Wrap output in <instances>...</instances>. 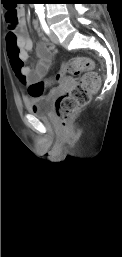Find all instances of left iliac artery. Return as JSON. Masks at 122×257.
<instances>
[{"mask_svg":"<svg viewBox=\"0 0 122 257\" xmlns=\"http://www.w3.org/2000/svg\"><path fill=\"white\" fill-rule=\"evenodd\" d=\"M38 18L40 20V23H41V26L43 28V30L48 34L49 33V28H48V25L45 21V14L44 12H40L38 13Z\"/></svg>","mask_w":122,"mask_h":257,"instance_id":"obj_1","label":"left iliac artery"}]
</instances>
